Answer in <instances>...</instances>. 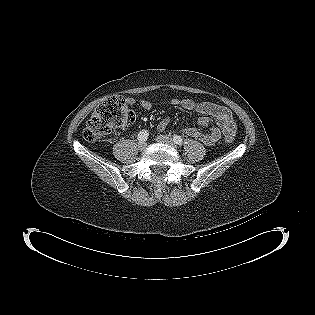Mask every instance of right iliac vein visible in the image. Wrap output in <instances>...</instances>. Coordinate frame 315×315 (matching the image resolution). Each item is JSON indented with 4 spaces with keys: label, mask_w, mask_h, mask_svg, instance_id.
I'll return each instance as SVG.
<instances>
[{
    "label": "right iliac vein",
    "mask_w": 315,
    "mask_h": 315,
    "mask_svg": "<svg viewBox=\"0 0 315 315\" xmlns=\"http://www.w3.org/2000/svg\"><path fill=\"white\" fill-rule=\"evenodd\" d=\"M146 146H147V144H146L145 141H142V142H139V143H138V148H139L140 150H144V149L146 148Z\"/></svg>",
    "instance_id": "63e3f726"
}]
</instances>
